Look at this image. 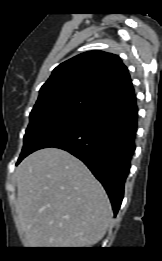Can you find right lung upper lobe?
Wrapping results in <instances>:
<instances>
[{"label":"right lung upper lobe","mask_w":162,"mask_h":261,"mask_svg":"<svg viewBox=\"0 0 162 261\" xmlns=\"http://www.w3.org/2000/svg\"><path fill=\"white\" fill-rule=\"evenodd\" d=\"M81 92L104 103L134 92L127 67L114 54L89 51L57 66L39 91V98Z\"/></svg>","instance_id":"cb5924a9"}]
</instances>
